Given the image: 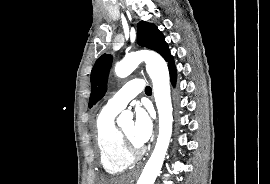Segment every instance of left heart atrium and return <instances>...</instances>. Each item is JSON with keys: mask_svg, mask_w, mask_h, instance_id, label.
I'll use <instances>...</instances> for the list:
<instances>
[{"mask_svg": "<svg viewBox=\"0 0 270 184\" xmlns=\"http://www.w3.org/2000/svg\"><path fill=\"white\" fill-rule=\"evenodd\" d=\"M153 123L147 110L138 107L135 112L134 138L139 144L146 143L152 136Z\"/></svg>", "mask_w": 270, "mask_h": 184, "instance_id": "obj_1", "label": "left heart atrium"}]
</instances>
